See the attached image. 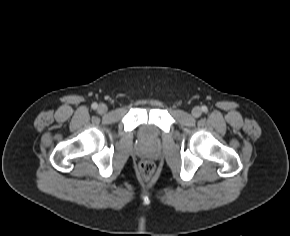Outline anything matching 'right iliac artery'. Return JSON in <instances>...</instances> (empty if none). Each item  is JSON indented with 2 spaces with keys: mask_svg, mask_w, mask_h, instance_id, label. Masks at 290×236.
Here are the masks:
<instances>
[{
  "mask_svg": "<svg viewBox=\"0 0 290 236\" xmlns=\"http://www.w3.org/2000/svg\"><path fill=\"white\" fill-rule=\"evenodd\" d=\"M93 109H96L98 107L97 103H93L91 106Z\"/></svg>",
  "mask_w": 290,
  "mask_h": 236,
  "instance_id": "right-iliac-artery-1",
  "label": "right iliac artery"
}]
</instances>
